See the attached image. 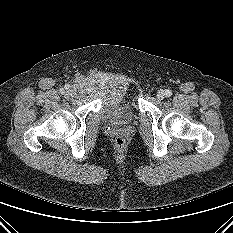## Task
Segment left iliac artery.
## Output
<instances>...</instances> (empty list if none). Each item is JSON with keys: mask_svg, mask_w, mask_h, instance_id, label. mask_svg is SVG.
I'll use <instances>...</instances> for the list:
<instances>
[{"mask_svg": "<svg viewBox=\"0 0 233 233\" xmlns=\"http://www.w3.org/2000/svg\"><path fill=\"white\" fill-rule=\"evenodd\" d=\"M165 95L167 96V97H170L171 95H172V92H171V90H166L165 91Z\"/></svg>", "mask_w": 233, "mask_h": 233, "instance_id": "1", "label": "left iliac artery"}]
</instances>
